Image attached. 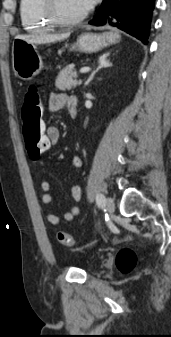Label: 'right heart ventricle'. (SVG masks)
Returning a JSON list of instances; mask_svg holds the SVG:
<instances>
[{"label":"right heart ventricle","instance_id":"right-heart-ventricle-1","mask_svg":"<svg viewBox=\"0 0 171 337\" xmlns=\"http://www.w3.org/2000/svg\"><path fill=\"white\" fill-rule=\"evenodd\" d=\"M19 10L22 25L28 31L48 30L54 25L45 14L43 0H20Z\"/></svg>","mask_w":171,"mask_h":337}]
</instances>
